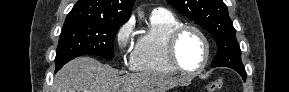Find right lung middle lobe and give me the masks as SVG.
<instances>
[{"label":"right lung middle lobe","mask_w":289,"mask_h":92,"mask_svg":"<svg viewBox=\"0 0 289 92\" xmlns=\"http://www.w3.org/2000/svg\"><path fill=\"white\" fill-rule=\"evenodd\" d=\"M122 24L124 23L65 22L56 51V71L68 61L84 54L112 59L114 39Z\"/></svg>","instance_id":"dd1d6c3e"}]
</instances>
